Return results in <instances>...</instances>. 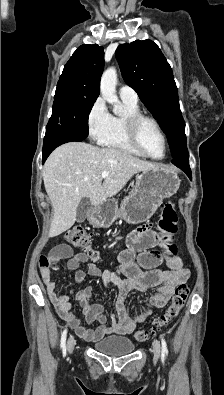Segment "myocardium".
Listing matches in <instances>:
<instances>
[{
  "instance_id": "f54148a6",
  "label": "myocardium",
  "mask_w": 224,
  "mask_h": 395,
  "mask_svg": "<svg viewBox=\"0 0 224 395\" xmlns=\"http://www.w3.org/2000/svg\"><path fill=\"white\" fill-rule=\"evenodd\" d=\"M148 122L152 124L159 135L161 136L163 143H164V155L160 158L153 157L150 155L145 148L143 147L141 140H140V128L143 123ZM125 128H126V134L127 137L130 141V143L133 145L135 149H137L141 154H143L145 157L153 159V160H162L166 157L167 150H168V141L166 138L165 133L163 132L160 124L156 119L153 117H150L148 115L142 114V113H136L132 115H128L125 119Z\"/></svg>"
}]
</instances>
